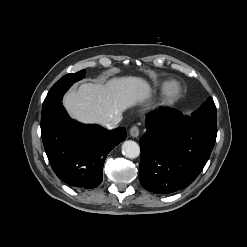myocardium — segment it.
I'll return each mask as SVG.
<instances>
[{
	"mask_svg": "<svg viewBox=\"0 0 247 247\" xmlns=\"http://www.w3.org/2000/svg\"><path fill=\"white\" fill-rule=\"evenodd\" d=\"M182 93V86L179 82L172 81L169 82L163 90L162 93V104L164 106H169L175 103Z\"/></svg>",
	"mask_w": 247,
	"mask_h": 247,
	"instance_id": "myocardium-1",
	"label": "myocardium"
}]
</instances>
